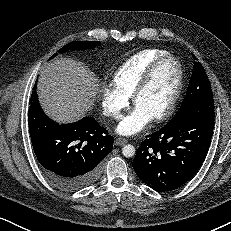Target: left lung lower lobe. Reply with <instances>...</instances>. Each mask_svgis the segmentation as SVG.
<instances>
[{
    "instance_id": "obj_1",
    "label": "left lung lower lobe",
    "mask_w": 231,
    "mask_h": 231,
    "mask_svg": "<svg viewBox=\"0 0 231 231\" xmlns=\"http://www.w3.org/2000/svg\"><path fill=\"white\" fill-rule=\"evenodd\" d=\"M214 129V110H189L148 135L133 169L149 187L172 191L187 183L202 166Z\"/></svg>"
}]
</instances>
